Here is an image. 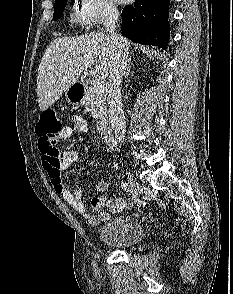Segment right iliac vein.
<instances>
[{"mask_svg": "<svg viewBox=\"0 0 233 294\" xmlns=\"http://www.w3.org/2000/svg\"><path fill=\"white\" fill-rule=\"evenodd\" d=\"M126 175H127V179L130 184V187L134 191L135 197L137 199V197L142 191V187L131 172H127Z\"/></svg>", "mask_w": 233, "mask_h": 294, "instance_id": "right-iliac-vein-1", "label": "right iliac vein"}]
</instances>
